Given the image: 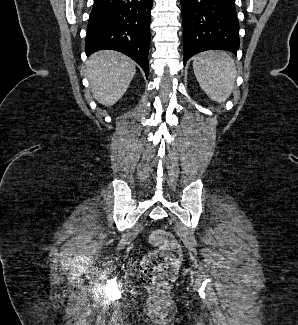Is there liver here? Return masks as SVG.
<instances>
[{
	"mask_svg": "<svg viewBox=\"0 0 298 325\" xmlns=\"http://www.w3.org/2000/svg\"><path fill=\"white\" fill-rule=\"evenodd\" d=\"M135 72L134 60L116 50L94 52L86 66L93 96L104 106L115 104L123 96Z\"/></svg>",
	"mask_w": 298,
	"mask_h": 325,
	"instance_id": "6515ba94",
	"label": "liver"
}]
</instances>
